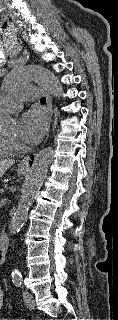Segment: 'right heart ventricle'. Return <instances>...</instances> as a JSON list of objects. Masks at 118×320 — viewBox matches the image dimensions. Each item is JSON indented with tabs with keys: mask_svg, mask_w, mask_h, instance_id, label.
<instances>
[{
	"mask_svg": "<svg viewBox=\"0 0 118 320\" xmlns=\"http://www.w3.org/2000/svg\"><path fill=\"white\" fill-rule=\"evenodd\" d=\"M13 152V146L8 137L0 133V156H8Z\"/></svg>",
	"mask_w": 118,
	"mask_h": 320,
	"instance_id": "e07e8e85",
	"label": "right heart ventricle"
}]
</instances>
